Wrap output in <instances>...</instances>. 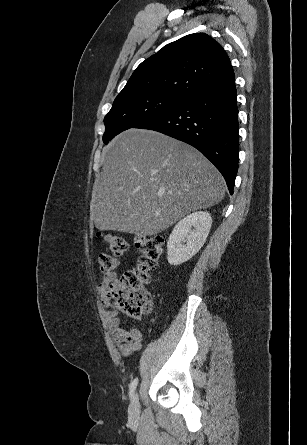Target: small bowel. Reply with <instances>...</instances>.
Returning <instances> with one entry per match:
<instances>
[{
    "label": "small bowel",
    "instance_id": "1",
    "mask_svg": "<svg viewBox=\"0 0 307 445\" xmlns=\"http://www.w3.org/2000/svg\"><path fill=\"white\" fill-rule=\"evenodd\" d=\"M118 279L115 272L104 274L102 281L98 285V293L105 306L103 314L112 333L113 342L118 346L123 356H130L141 349L142 334L137 328H124L118 312L110 308L108 290Z\"/></svg>",
    "mask_w": 307,
    "mask_h": 445
}]
</instances>
